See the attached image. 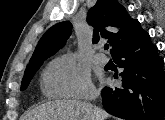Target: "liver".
Masks as SVG:
<instances>
[{
  "mask_svg": "<svg viewBox=\"0 0 165 120\" xmlns=\"http://www.w3.org/2000/svg\"><path fill=\"white\" fill-rule=\"evenodd\" d=\"M109 115L87 102L64 99L42 104L26 120H105Z\"/></svg>",
  "mask_w": 165,
  "mask_h": 120,
  "instance_id": "6515ba94",
  "label": "liver"
}]
</instances>
